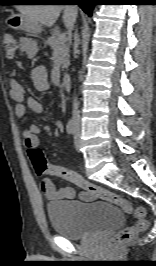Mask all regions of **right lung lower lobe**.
I'll list each match as a JSON object with an SVG mask.
<instances>
[{"instance_id": "obj_1", "label": "right lung lower lobe", "mask_w": 156, "mask_h": 266, "mask_svg": "<svg viewBox=\"0 0 156 266\" xmlns=\"http://www.w3.org/2000/svg\"><path fill=\"white\" fill-rule=\"evenodd\" d=\"M62 1H71L78 4L82 8V10L89 16L92 15V10L97 2V0H62Z\"/></svg>"}]
</instances>
